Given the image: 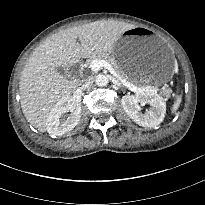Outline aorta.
<instances>
[{
	"instance_id": "aorta-1",
	"label": "aorta",
	"mask_w": 205,
	"mask_h": 205,
	"mask_svg": "<svg viewBox=\"0 0 205 205\" xmlns=\"http://www.w3.org/2000/svg\"><path fill=\"white\" fill-rule=\"evenodd\" d=\"M95 82L98 86H106L108 84V78L103 74H98L95 77Z\"/></svg>"
}]
</instances>
